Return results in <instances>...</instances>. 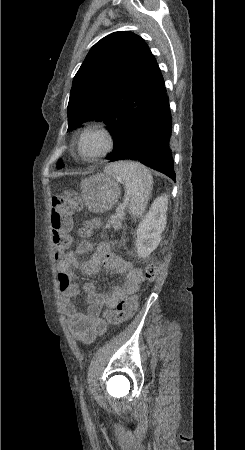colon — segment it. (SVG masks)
Segmentation results:
<instances>
[{"label":"colon","mask_w":245,"mask_h":450,"mask_svg":"<svg viewBox=\"0 0 245 450\" xmlns=\"http://www.w3.org/2000/svg\"><path fill=\"white\" fill-rule=\"evenodd\" d=\"M83 208V199L75 190L64 191L62 195L52 198V211L49 218V231L54 247L55 260L62 259L70 249L72 235V215ZM99 226L96 218L87 220L77 232L76 238L90 239ZM144 278L154 280L158 275V265L149 263L143 270ZM140 293L121 299L114 309L107 308L103 312L104 321L117 325L131 318L139 304Z\"/></svg>","instance_id":"5ec220e1"}]
</instances>
